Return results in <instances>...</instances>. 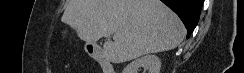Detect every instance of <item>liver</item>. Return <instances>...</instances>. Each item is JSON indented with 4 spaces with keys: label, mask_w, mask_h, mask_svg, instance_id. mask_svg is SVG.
I'll return each mask as SVG.
<instances>
[{
    "label": "liver",
    "mask_w": 244,
    "mask_h": 73,
    "mask_svg": "<svg viewBox=\"0 0 244 73\" xmlns=\"http://www.w3.org/2000/svg\"><path fill=\"white\" fill-rule=\"evenodd\" d=\"M61 20L86 42L114 34L103 45L112 63L172 50L185 35L180 18L160 0H68Z\"/></svg>",
    "instance_id": "1"
}]
</instances>
